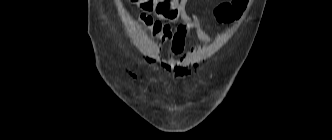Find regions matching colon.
Returning <instances> with one entry per match:
<instances>
[{
	"mask_svg": "<svg viewBox=\"0 0 332 140\" xmlns=\"http://www.w3.org/2000/svg\"><path fill=\"white\" fill-rule=\"evenodd\" d=\"M141 6L145 11H155L157 14L174 18L177 15V4L179 0H131ZM248 0H231L220 4L214 11L219 22L229 23L239 18L247 6ZM139 24L147 29L153 36L168 35L172 32L168 23L153 18L147 13L139 16Z\"/></svg>",
	"mask_w": 332,
	"mask_h": 140,
	"instance_id": "1",
	"label": "colon"
}]
</instances>
